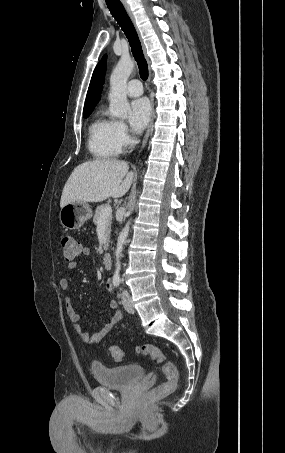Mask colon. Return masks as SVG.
<instances>
[{
  "label": "colon",
  "mask_w": 285,
  "mask_h": 453,
  "mask_svg": "<svg viewBox=\"0 0 285 453\" xmlns=\"http://www.w3.org/2000/svg\"><path fill=\"white\" fill-rule=\"evenodd\" d=\"M62 248L64 257L68 261L75 259L80 254L81 250L79 242L70 236H66L62 239ZM110 352L112 358L116 362H121L123 360L124 352L120 347L112 346ZM136 352L149 356L154 361L160 363L162 365V370L166 375V381L155 388L151 392V395L154 397H165L173 393L178 383V370L176 366L167 359L161 348L151 343H143L136 346Z\"/></svg>",
  "instance_id": "1"
}]
</instances>
